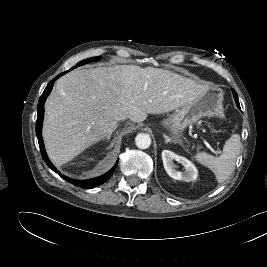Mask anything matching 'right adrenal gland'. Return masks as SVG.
<instances>
[{"label":"right adrenal gland","mask_w":267,"mask_h":267,"mask_svg":"<svg viewBox=\"0 0 267 267\" xmlns=\"http://www.w3.org/2000/svg\"><path fill=\"white\" fill-rule=\"evenodd\" d=\"M117 127H118V125H116V126L114 127L113 131H112L110 134L106 135L105 138H104L103 140H109V139L111 138V134L117 129Z\"/></svg>","instance_id":"obj_1"}]
</instances>
